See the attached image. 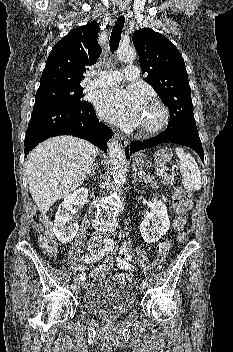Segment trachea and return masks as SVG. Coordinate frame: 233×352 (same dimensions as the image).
I'll return each mask as SVG.
<instances>
[{
    "label": "trachea",
    "instance_id": "1",
    "mask_svg": "<svg viewBox=\"0 0 233 352\" xmlns=\"http://www.w3.org/2000/svg\"><path fill=\"white\" fill-rule=\"evenodd\" d=\"M124 22H125V17L124 15H120L117 18V21L115 22V25L113 27L111 36H110V40H109V44H110V49L111 51H115L118 46H119V42L121 39V33L124 27Z\"/></svg>",
    "mask_w": 233,
    "mask_h": 352
}]
</instances>
